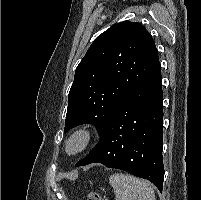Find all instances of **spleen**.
Instances as JSON below:
<instances>
[{"instance_id": "spleen-1", "label": "spleen", "mask_w": 201, "mask_h": 200, "mask_svg": "<svg viewBox=\"0 0 201 200\" xmlns=\"http://www.w3.org/2000/svg\"><path fill=\"white\" fill-rule=\"evenodd\" d=\"M116 200H155L150 183L129 174L114 173L109 177Z\"/></svg>"}]
</instances>
